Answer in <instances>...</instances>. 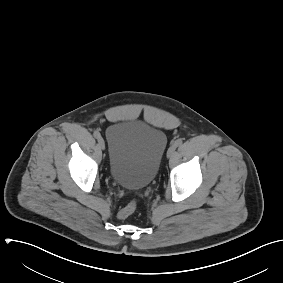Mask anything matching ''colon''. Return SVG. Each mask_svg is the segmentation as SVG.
Listing matches in <instances>:
<instances>
[{
    "mask_svg": "<svg viewBox=\"0 0 283 283\" xmlns=\"http://www.w3.org/2000/svg\"><path fill=\"white\" fill-rule=\"evenodd\" d=\"M136 208H137V202L135 200H132L130 203H128L124 208H122L119 211L118 217L120 219H125L129 217L131 214H133Z\"/></svg>",
    "mask_w": 283,
    "mask_h": 283,
    "instance_id": "colon-1",
    "label": "colon"
}]
</instances>
